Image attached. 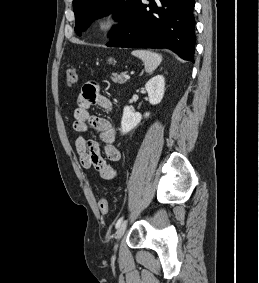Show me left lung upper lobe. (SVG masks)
I'll return each instance as SVG.
<instances>
[{"label": "left lung upper lobe", "instance_id": "obj_1", "mask_svg": "<svg viewBox=\"0 0 259 283\" xmlns=\"http://www.w3.org/2000/svg\"><path fill=\"white\" fill-rule=\"evenodd\" d=\"M136 0H73L75 32L81 36L89 24L102 16L113 13L120 20V26L109 35L113 37L124 25Z\"/></svg>", "mask_w": 259, "mask_h": 283}]
</instances>
